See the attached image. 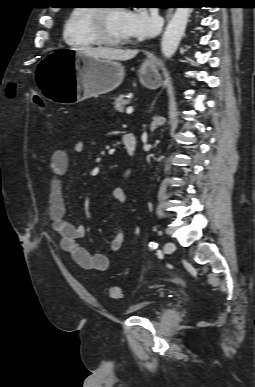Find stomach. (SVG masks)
<instances>
[{"label":"stomach","mask_w":255,"mask_h":387,"mask_svg":"<svg viewBox=\"0 0 255 387\" xmlns=\"http://www.w3.org/2000/svg\"><path fill=\"white\" fill-rule=\"evenodd\" d=\"M45 59H34L33 82L43 87L45 99L53 104H74L107 93L120 85L124 77L122 64L87 56L73 46H50ZM141 83L156 89L161 85L157 65L145 61L139 71Z\"/></svg>","instance_id":"0dacf381"}]
</instances>
